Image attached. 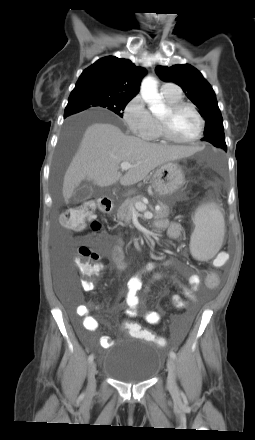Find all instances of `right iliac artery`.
<instances>
[{
	"label": "right iliac artery",
	"instance_id": "right-iliac-artery-1",
	"mask_svg": "<svg viewBox=\"0 0 255 440\" xmlns=\"http://www.w3.org/2000/svg\"><path fill=\"white\" fill-rule=\"evenodd\" d=\"M93 359H94V355L93 354L89 355L88 362L91 363Z\"/></svg>",
	"mask_w": 255,
	"mask_h": 440
}]
</instances>
